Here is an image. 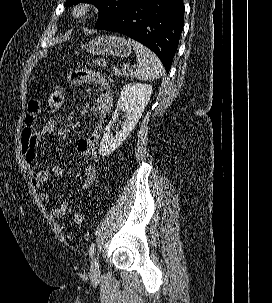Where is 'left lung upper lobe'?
<instances>
[{"label": "left lung upper lobe", "mask_w": 272, "mask_h": 303, "mask_svg": "<svg viewBox=\"0 0 272 303\" xmlns=\"http://www.w3.org/2000/svg\"><path fill=\"white\" fill-rule=\"evenodd\" d=\"M138 0H67L65 5L89 2L95 4L99 9V19L95 28L101 26L108 20L122 13Z\"/></svg>", "instance_id": "left-lung-upper-lobe-1"}]
</instances>
